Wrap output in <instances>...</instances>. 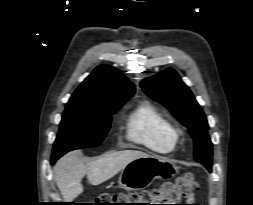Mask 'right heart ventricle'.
I'll list each match as a JSON object with an SVG mask.
<instances>
[{"label":"right heart ventricle","mask_w":253,"mask_h":205,"mask_svg":"<svg viewBox=\"0 0 253 205\" xmlns=\"http://www.w3.org/2000/svg\"><path fill=\"white\" fill-rule=\"evenodd\" d=\"M125 136L133 143L160 153L173 150L178 139L170 119L149 102L139 104L130 112Z\"/></svg>","instance_id":"e07e8e85"}]
</instances>
